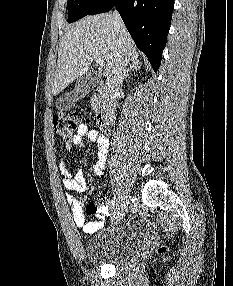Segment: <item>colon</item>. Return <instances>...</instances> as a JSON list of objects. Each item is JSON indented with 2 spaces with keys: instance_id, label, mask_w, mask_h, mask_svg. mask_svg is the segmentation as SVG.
<instances>
[{
  "instance_id": "1",
  "label": "colon",
  "mask_w": 233,
  "mask_h": 286,
  "mask_svg": "<svg viewBox=\"0 0 233 286\" xmlns=\"http://www.w3.org/2000/svg\"><path fill=\"white\" fill-rule=\"evenodd\" d=\"M81 120L82 115L77 111L57 113L53 117L54 132L61 139L70 141Z\"/></svg>"
}]
</instances>
